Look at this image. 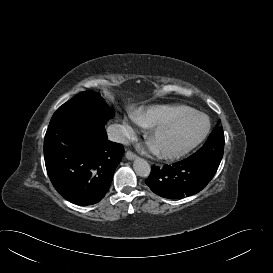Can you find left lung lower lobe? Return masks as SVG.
<instances>
[{
    "label": "left lung lower lobe",
    "instance_id": "left-lung-lower-lobe-1",
    "mask_svg": "<svg viewBox=\"0 0 273 273\" xmlns=\"http://www.w3.org/2000/svg\"><path fill=\"white\" fill-rule=\"evenodd\" d=\"M218 167L219 164L210 159L190 156L172 165H153L146 184L164 198L191 196L205 188Z\"/></svg>",
    "mask_w": 273,
    "mask_h": 273
}]
</instances>
